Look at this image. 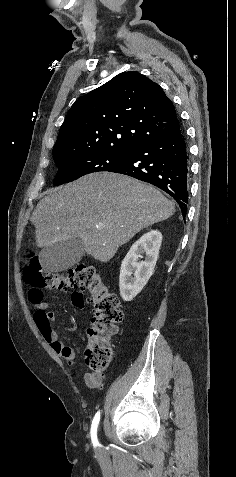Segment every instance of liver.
Wrapping results in <instances>:
<instances>
[{
  "mask_svg": "<svg viewBox=\"0 0 236 477\" xmlns=\"http://www.w3.org/2000/svg\"><path fill=\"white\" fill-rule=\"evenodd\" d=\"M174 212L175 204L155 187L100 172L49 191L31 221L39 248L79 238L84 252L108 262L138 232Z\"/></svg>",
  "mask_w": 236,
  "mask_h": 477,
  "instance_id": "obj_1",
  "label": "liver"
}]
</instances>
